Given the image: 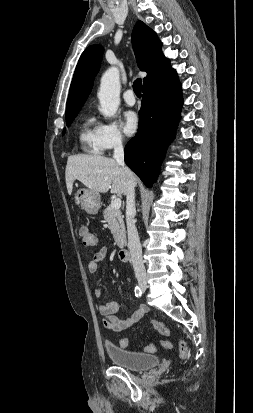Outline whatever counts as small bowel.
<instances>
[{
  "instance_id": "1",
  "label": "small bowel",
  "mask_w": 253,
  "mask_h": 413,
  "mask_svg": "<svg viewBox=\"0 0 253 413\" xmlns=\"http://www.w3.org/2000/svg\"><path fill=\"white\" fill-rule=\"evenodd\" d=\"M107 256V248H100L93 256L88 265V271L91 274L97 272L101 262ZM97 298H101L102 290L97 288L95 290ZM99 312L103 316V325L106 329L114 332H122L134 326L140 319L147 313L148 309L144 305H140L134 313L126 319H118L113 314L118 310V304L116 302H106L99 305Z\"/></svg>"
}]
</instances>
